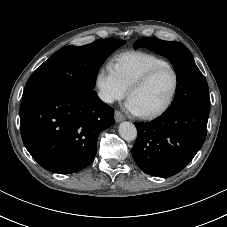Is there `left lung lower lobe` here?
I'll use <instances>...</instances> for the list:
<instances>
[{"instance_id": "0a47b994", "label": "left lung lower lobe", "mask_w": 227, "mask_h": 227, "mask_svg": "<svg viewBox=\"0 0 227 227\" xmlns=\"http://www.w3.org/2000/svg\"><path fill=\"white\" fill-rule=\"evenodd\" d=\"M208 112L185 108L164 112L138 130L132 155L142 171L157 177L180 172L202 147L207 133Z\"/></svg>"}]
</instances>
